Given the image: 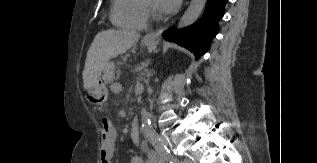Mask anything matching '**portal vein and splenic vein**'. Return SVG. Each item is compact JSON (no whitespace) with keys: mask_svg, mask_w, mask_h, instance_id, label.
<instances>
[{"mask_svg":"<svg viewBox=\"0 0 317 163\" xmlns=\"http://www.w3.org/2000/svg\"><path fill=\"white\" fill-rule=\"evenodd\" d=\"M116 88L120 89L122 87V85L120 83H116Z\"/></svg>","mask_w":317,"mask_h":163,"instance_id":"portal-vein-and-splenic-vein-1","label":"portal vein and splenic vein"}]
</instances>
